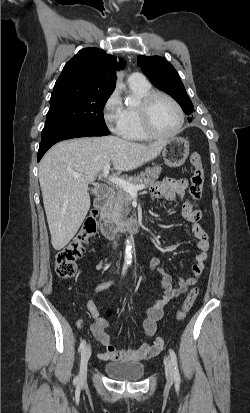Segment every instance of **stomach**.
<instances>
[{"label": "stomach", "mask_w": 250, "mask_h": 413, "mask_svg": "<svg viewBox=\"0 0 250 413\" xmlns=\"http://www.w3.org/2000/svg\"><path fill=\"white\" fill-rule=\"evenodd\" d=\"M189 154V142L182 137H173L166 140L162 149L165 163L171 167H178L185 163Z\"/></svg>", "instance_id": "0dacf381"}]
</instances>
